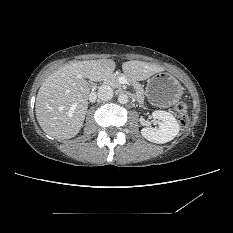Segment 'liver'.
Masks as SVG:
<instances>
[{"instance_id":"1","label":"liver","mask_w":233,"mask_h":233,"mask_svg":"<svg viewBox=\"0 0 233 233\" xmlns=\"http://www.w3.org/2000/svg\"><path fill=\"white\" fill-rule=\"evenodd\" d=\"M115 67L111 59L77 61L49 75L42 83L35 103L36 117L42 130L56 139L76 136L88 108L90 88L86 79L101 81L110 76ZM122 70L130 79L142 81L165 69L132 60L124 62ZM74 103H77V107L70 113Z\"/></svg>"}]
</instances>
